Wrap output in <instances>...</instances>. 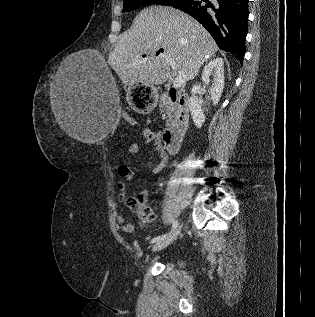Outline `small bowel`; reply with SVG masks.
<instances>
[{"label": "small bowel", "instance_id": "obj_1", "mask_svg": "<svg viewBox=\"0 0 315 317\" xmlns=\"http://www.w3.org/2000/svg\"><path fill=\"white\" fill-rule=\"evenodd\" d=\"M140 134L144 141L148 144H152L158 154V163L154 166V172H160L164 169L167 159L168 153L162 146V137L160 133L155 132L149 128H143L140 131ZM141 148L138 144L132 143L128 146L127 154L131 157L139 155L141 153ZM118 176L120 177V182L118 184L119 194L118 200L123 202L126 198L125 194V184L124 182L132 178V171L127 165H120L117 168ZM140 199L143 203H146L148 192L142 191L139 195ZM116 221L121 225V230L124 233H132L134 231V226L132 223L125 221L124 217L121 214H116Z\"/></svg>", "mask_w": 315, "mask_h": 317}]
</instances>
